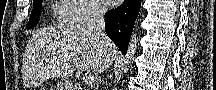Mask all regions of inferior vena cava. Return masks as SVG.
Masks as SVG:
<instances>
[{"label":"inferior vena cava","instance_id":"inferior-vena-cava-1","mask_svg":"<svg viewBox=\"0 0 216 90\" xmlns=\"http://www.w3.org/2000/svg\"><path fill=\"white\" fill-rule=\"evenodd\" d=\"M108 12L107 4H100V2H95L93 6H91L89 10L90 18L87 22V30L88 32H93L95 36H99L100 42L103 46V60H105V64L99 68L98 72H105L106 68H109L110 64H112V56H111V44H109V40L106 36L105 32V14Z\"/></svg>","mask_w":216,"mask_h":90}]
</instances>
